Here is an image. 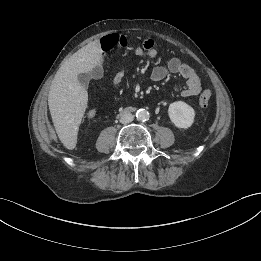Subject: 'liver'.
I'll use <instances>...</instances> for the list:
<instances>
[{"label":"liver","instance_id":"1","mask_svg":"<svg viewBox=\"0 0 261 261\" xmlns=\"http://www.w3.org/2000/svg\"><path fill=\"white\" fill-rule=\"evenodd\" d=\"M100 57L99 40L89 43L61 66L51 84L48 94L49 110L56 133L65 145L75 141L88 102V93L77 76L90 72L98 64Z\"/></svg>","mask_w":261,"mask_h":261}]
</instances>
